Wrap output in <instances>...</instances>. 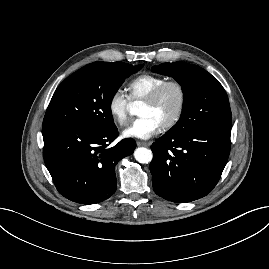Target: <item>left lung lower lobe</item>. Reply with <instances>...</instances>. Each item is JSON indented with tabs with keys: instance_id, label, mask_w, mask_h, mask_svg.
I'll list each match as a JSON object with an SVG mask.
<instances>
[{
	"instance_id": "obj_1",
	"label": "left lung lower lobe",
	"mask_w": 269,
	"mask_h": 269,
	"mask_svg": "<svg viewBox=\"0 0 269 269\" xmlns=\"http://www.w3.org/2000/svg\"><path fill=\"white\" fill-rule=\"evenodd\" d=\"M230 134V127H205L157 139L150 164L155 193L175 203L209 194L226 165Z\"/></svg>"
}]
</instances>
